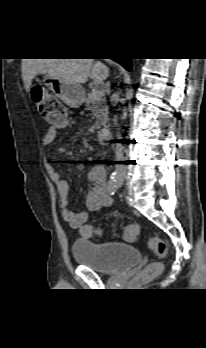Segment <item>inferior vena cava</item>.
<instances>
[{
  "label": "inferior vena cava",
  "mask_w": 206,
  "mask_h": 348,
  "mask_svg": "<svg viewBox=\"0 0 206 348\" xmlns=\"http://www.w3.org/2000/svg\"><path fill=\"white\" fill-rule=\"evenodd\" d=\"M113 98L115 99V101H117V100H118V95H117V94H114V95H113ZM122 155H123V147L117 145V146L115 147V156H116L117 159H121V158H122Z\"/></svg>",
  "instance_id": "602c4592"
}]
</instances>
